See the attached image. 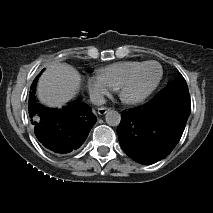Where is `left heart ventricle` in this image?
Returning <instances> with one entry per match:
<instances>
[{
  "label": "left heart ventricle",
  "mask_w": 213,
  "mask_h": 213,
  "mask_svg": "<svg viewBox=\"0 0 213 213\" xmlns=\"http://www.w3.org/2000/svg\"><path fill=\"white\" fill-rule=\"evenodd\" d=\"M159 74L158 67L150 64L143 67L125 88V96L128 98H136L145 94L155 83Z\"/></svg>",
  "instance_id": "obj_1"
}]
</instances>
